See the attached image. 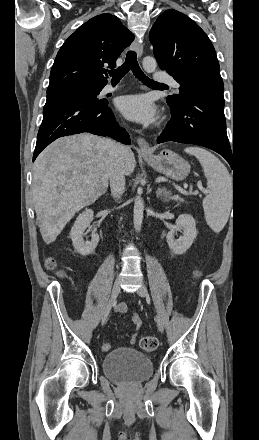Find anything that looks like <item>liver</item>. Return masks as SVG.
I'll return each instance as SVG.
<instances>
[{
    "label": "liver",
    "mask_w": 259,
    "mask_h": 440,
    "mask_svg": "<svg viewBox=\"0 0 259 440\" xmlns=\"http://www.w3.org/2000/svg\"><path fill=\"white\" fill-rule=\"evenodd\" d=\"M114 144L110 139L81 133L55 140L37 157L32 196L46 244L56 240L78 211L106 192ZM135 167L134 154L126 147L124 174L131 175Z\"/></svg>",
    "instance_id": "liver-1"
}]
</instances>
